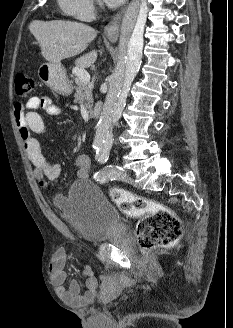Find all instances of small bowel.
Returning a JSON list of instances; mask_svg holds the SVG:
<instances>
[{
  "label": "small bowel",
  "mask_w": 233,
  "mask_h": 328,
  "mask_svg": "<svg viewBox=\"0 0 233 328\" xmlns=\"http://www.w3.org/2000/svg\"><path fill=\"white\" fill-rule=\"evenodd\" d=\"M39 109H43L49 116L60 115V108L55 105L48 96L32 97L23 105H14V118L22 139L26 154L34 166L33 173L41 186H46L47 181L56 179L60 174V166L51 162L42 152L41 146L35 135L42 134L45 130L44 122ZM77 167L76 175L79 179L88 177L90 168V158L85 154L77 155L74 159ZM67 254L64 249L56 250L49 263L51 280L56 287L58 296L67 303L82 305L91 302L97 291L98 282L94 272L89 265L81 268V273L85 278L86 290L82 293L79 284L71 281L69 287H65L67 273L65 265Z\"/></svg>",
  "instance_id": "small-bowel-1"
}]
</instances>
